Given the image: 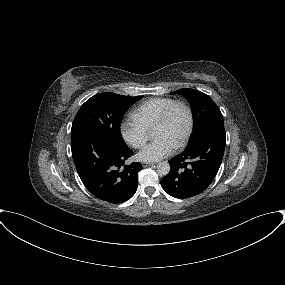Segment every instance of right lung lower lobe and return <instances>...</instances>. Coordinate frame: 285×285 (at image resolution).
Segmentation results:
<instances>
[{"label": "right lung lower lobe", "mask_w": 285, "mask_h": 285, "mask_svg": "<svg viewBox=\"0 0 285 285\" xmlns=\"http://www.w3.org/2000/svg\"><path fill=\"white\" fill-rule=\"evenodd\" d=\"M71 151L83 184L95 197L117 204L135 194L137 174L143 167L138 162L124 165L133 154L131 149L81 132L71 136Z\"/></svg>", "instance_id": "1"}]
</instances>
